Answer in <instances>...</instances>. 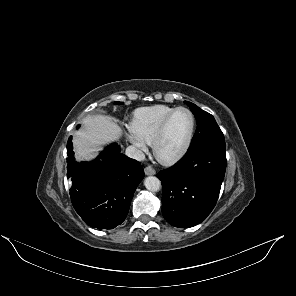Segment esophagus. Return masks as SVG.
Returning <instances> with one entry per match:
<instances>
[{
  "label": "esophagus",
  "mask_w": 296,
  "mask_h": 296,
  "mask_svg": "<svg viewBox=\"0 0 296 296\" xmlns=\"http://www.w3.org/2000/svg\"><path fill=\"white\" fill-rule=\"evenodd\" d=\"M144 172L146 175H154L156 173L152 166L145 167Z\"/></svg>",
  "instance_id": "34e87169"
}]
</instances>
